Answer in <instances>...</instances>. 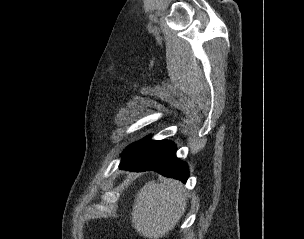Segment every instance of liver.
Segmentation results:
<instances>
[{
  "label": "liver",
  "instance_id": "liver-1",
  "mask_svg": "<svg viewBox=\"0 0 304 239\" xmlns=\"http://www.w3.org/2000/svg\"><path fill=\"white\" fill-rule=\"evenodd\" d=\"M186 204V194L178 180L149 181L135 197L132 226L146 238L164 237L184 215Z\"/></svg>",
  "mask_w": 304,
  "mask_h": 239
}]
</instances>
